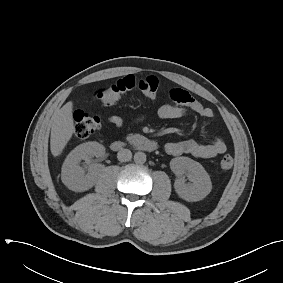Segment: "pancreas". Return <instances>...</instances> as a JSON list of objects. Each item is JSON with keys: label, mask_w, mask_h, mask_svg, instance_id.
I'll list each match as a JSON object with an SVG mask.
<instances>
[{"label": "pancreas", "mask_w": 283, "mask_h": 283, "mask_svg": "<svg viewBox=\"0 0 283 283\" xmlns=\"http://www.w3.org/2000/svg\"><path fill=\"white\" fill-rule=\"evenodd\" d=\"M138 138V135L137 134H135V135H133V134H129L128 136H127V141H129V142H133L135 139H137Z\"/></svg>", "instance_id": "obj_1"}]
</instances>
